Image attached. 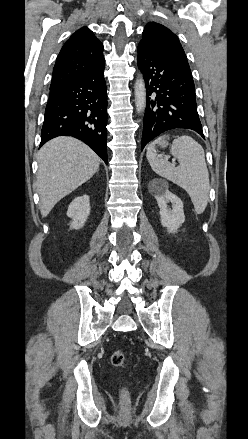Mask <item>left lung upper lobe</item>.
I'll return each mask as SVG.
<instances>
[{
  "label": "left lung upper lobe",
  "mask_w": 248,
  "mask_h": 439,
  "mask_svg": "<svg viewBox=\"0 0 248 439\" xmlns=\"http://www.w3.org/2000/svg\"><path fill=\"white\" fill-rule=\"evenodd\" d=\"M139 45L189 67L185 52L178 37L171 30L159 23L150 22L145 26L143 37Z\"/></svg>",
  "instance_id": "obj_1"
}]
</instances>
